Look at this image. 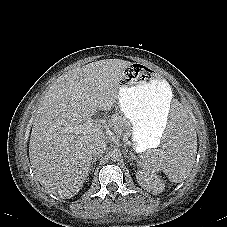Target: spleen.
<instances>
[{
	"instance_id": "spleen-1",
	"label": "spleen",
	"mask_w": 227,
	"mask_h": 227,
	"mask_svg": "<svg viewBox=\"0 0 227 227\" xmlns=\"http://www.w3.org/2000/svg\"><path fill=\"white\" fill-rule=\"evenodd\" d=\"M197 154V137L188 117V109L175 103L169 109L168 133L160 150L142 152L137 160L139 170L152 175L162 170L174 183L183 182L190 174Z\"/></svg>"
}]
</instances>
